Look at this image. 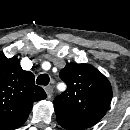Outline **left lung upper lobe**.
<instances>
[{
	"instance_id": "1",
	"label": "left lung upper lobe",
	"mask_w": 130,
	"mask_h": 130,
	"mask_svg": "<svg viewBox=\"0 0 130 130\" xmlns=\"http://www.w3.org/2000/svg\"><path fill=\"white\" fill-rule=\"evenodd\" d=\"M67 89L54 99L55 107L98 122L106 113L112 99L108 79L89 64L67 63L59 73Z\"/></svg>"
}]
</instances>
